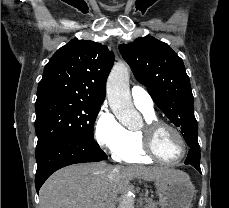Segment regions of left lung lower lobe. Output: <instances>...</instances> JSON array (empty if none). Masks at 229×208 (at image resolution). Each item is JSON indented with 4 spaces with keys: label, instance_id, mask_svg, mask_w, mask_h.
Returning a JSON list of instances; mask_svg holds the SVG:
<instances>
[{
    "label": "left lung lower lobe",
    "instance_id": "left-lung-lower-lobe-1",
    "mask_svg": "<svg viewBox=\"0 0 229 208\" xmlns=\"http://www.w3.org/2000/svg\"><path fill=\"white\" fill-rule=\"evenodd\" d=\"M186 143L191 148L188 152L185 164H191L195 167L200 173V147L197 140V133H188L183 135Z\"/></svg>",
    "mask_w": 229,
    "mask_h": 208
}]
</instances>
